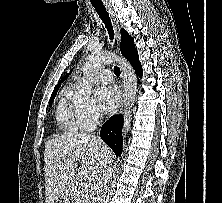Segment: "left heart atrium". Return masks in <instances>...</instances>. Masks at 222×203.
<instances>
[{"mask_svg":"<svg viewBox=\"0 0 222 203\" xmlns=\"http://www.w3.org/2000/svg\"><path fill=\"white\" fill-rule=\"evenodd\" d=\"M119 92L114 86H102L95 92V100L98 108L105 113H112L119 103Z\"/></svg>","mask_w":222,"mask_h":203,"instance_id":"1","label":"left heart atrium"}]
</instances>
